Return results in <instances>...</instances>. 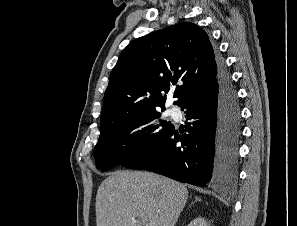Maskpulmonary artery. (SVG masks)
Segmentation results:
<instances>
[{
    "mask_svg": "<svg viewBox=\"0 0 297 226\" xmlns=\"http://www.w3.org/2000/svg\"><path fill=\"white\" fill-rule=\"evenodd\" d=\"M177 114H178L177 110H172V115H173V116H175V115H177Z\"/></svg>",
    "mask_w": 297,
    "mask_h": 226,
    "instance_id": "e3ab8cb5",
    "label": "pulmonary artery"
}]
</instances>
